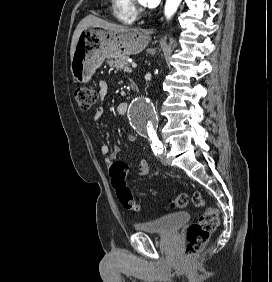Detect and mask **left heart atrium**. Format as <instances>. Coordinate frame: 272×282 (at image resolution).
Instances as JSON below:
<instances>
[{"mask_svg":"<svg viewBox=\"0 0 272 282\" xmlns=\"http://www.w3.org/2000/svg\"><path fill=\"white\" fill-rule=\"evenodd\" d=\"M141 1L145 7H149V8L157 6L160 2V0H141Z\"/></svg>","mask_w":272,"mask_h":282,"instance_id":"1","label":"left heart atrium"}]
</instances>
